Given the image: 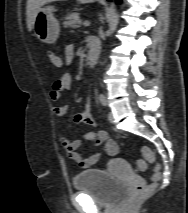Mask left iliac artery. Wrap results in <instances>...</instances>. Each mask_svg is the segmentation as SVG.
<instances>
[{
    "mask_svg": "<svg viewBox=\"0 0 188 213\" xmlns=\"http://www.w3.org/2000/svg\"><path fill=\"white\" fill-rule=\"evenodd\" d=\"M100 102L102 103L103 106L107 105V100L105 99V97H101Z\"/></svg>",
    "mask_w": 188,
    "mask_h": 213,
    "instance_id": "left-iliac-artery-1",
    "label": "left iliac artery"
}]
</instances>
